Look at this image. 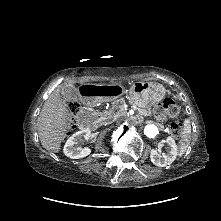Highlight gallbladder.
<instances>
[{
	"label": "gallbladder",
	"mask_w": 221,
	"mask_h": 221,
	"mask_svg": "<svg viewBox=\"0 0 221 221\" xmlns=\"http://www.w3.org/2000/svg\"><path fill=\"white\" fill-rule=\"evenodd\" d=\"M61 97L65 101H76L79 97V93L75 86L65 85L61 89Z\"/></svg>",
	"instance_id": "gallbladder-1"
}]
</instances>
